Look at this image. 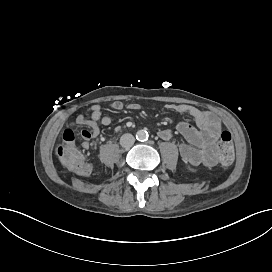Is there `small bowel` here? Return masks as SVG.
Segmentation results:
<instances>
[{"label":"small bowel","instance_id":"1","mask_svg":"<svg viewBox=\"0 0 272 272\" xmlns=\"http://www.w3.org/2000/svg\"><path fill=\"white\" fill-rule=\"evenodd\" d=\"M124 107L123 102L118 100L110 104V109L115 112L123 110ZM127 108L138 110L140 105L130 103L127 105ZM166 108L177 113L189 114L195 122V125L186 121H180L177 124L178 133L186 140V142L179 144L181 159L193 165H212L208 162L206 150L220 135L222 130L220 120L212 112L193 105L168 104ZM87 111L89 116L79 114L74 119V122L68 126L72 129L74 125L88 127V129L81 131V137L83 138L82 147L84 149H88L91 141H94L99 136L100 127L109 126L112 122L109 116L102 114V108L98 104L91 105ZM158 136L160 139L168 141L172 139L173 133L168 129H163L158 132Z\"/></svg>","mask_w":272,"mask_h":272}]
</instances>
